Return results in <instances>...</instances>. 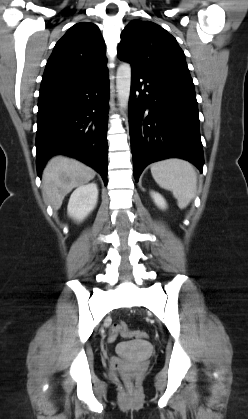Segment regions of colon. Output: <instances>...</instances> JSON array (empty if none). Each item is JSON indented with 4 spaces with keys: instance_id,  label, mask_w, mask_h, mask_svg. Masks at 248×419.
<instances>
[{
    "instance_id": "5ec220e1",
    "label": "colon",
    "mask_w": 248,
    "mask_h": 419,
    "mask_svg": "<svg viewBox=\"0 0 248 419\" xmlns=\"http://www.w3.org/2000/svg\"><path fill=\"white\" fill-rule=\"evenodd\" d=\"M113 332L115 334H121L125 338H138V339H147L148 334L144 331L139 330H130L126 323H116L113 326ZM129 384V382H128Z\"/></svg>"
}]
</instances>
